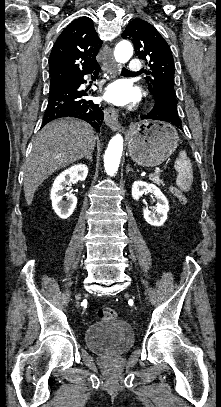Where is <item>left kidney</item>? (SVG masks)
<instances>
[{"label":"left kidney","mask_w":221,"mask_h":407,"mask_svg":"<svg viewBox=\"0 0 221 407\" xmlns=\"http://www.w3.org/2000/svg\"><path fill=\"white\" fill-rule=\"evenodd\" d=\"M152 193L157 200L155 212L143 209V216L147 223L152 226H162L167 219L169 211L168 200L161 190L154 184H148L143 181H135L132 185V197L138 201L143 194Z\"/></svg>","instance_id":"left-kidney-1"}]
</instances>
